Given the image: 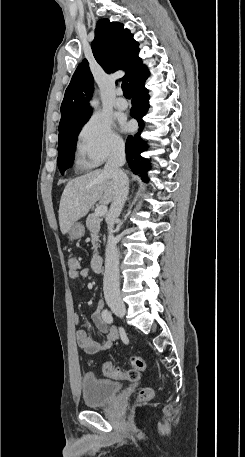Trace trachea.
<instances>
[{"instance_id":"trachea-1","label":"trachea","mask_w":245,"mask_h":457,"mask_svg":"<svg viewBox=\"0 0 245 457\" xmlns=\"http://www.w3.org/2000/svg\"><path fill=\"white\" fill-rule=\"evenodd\" d=\"M121 87H122V90H123V95L125 97H131V93H130V90H129V84L127 82H123Z\"/></svg>"}]
</instances>
